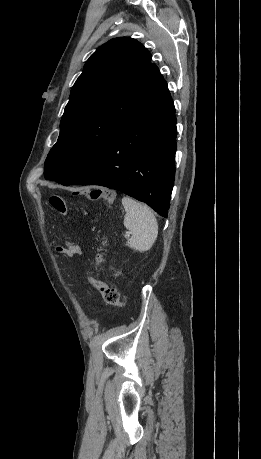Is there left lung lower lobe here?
<instances>
[{"label":"left lung lower lobe","mask_w":261,"mask_h":459,"mask_svg":"<svg viewBox=\"0 0 261 459\" xmlns=\"http://www.w3.org/2000/svg\"><path fill=\"white\" fill-rule=\"evenodd\" d=\"M175 108L163 81L101 152L61 184L101 185L167 217L175 179Z\"/></svg>","instance_id":"0a47b994"}]
</instances>
